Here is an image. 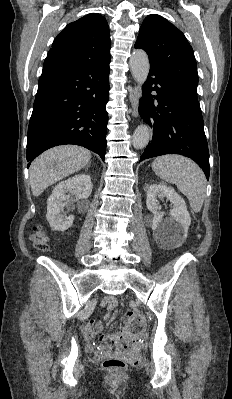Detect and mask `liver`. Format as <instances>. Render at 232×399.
<instances>
[{
  "instance_id": "liver-1",
  "label": "liver",
  "mask_w": 232,
  "mask_h": 399,
  "mask_svg": "<svg viewBox=\"0 0 232 399\" xmlns=\"http://www.w3.org/2000/svg\"><path fill=\"white\" fill-rule=\"evenodd\" d=\"M91 154L79 146H58L43 152L30 166V186L33 196H40L48 186L79 172L89 164Z\"/></svg>"
}]
</instances>
